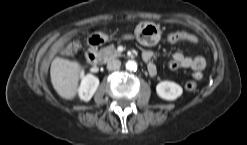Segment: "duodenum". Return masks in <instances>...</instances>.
Segmentation results:
<instances>
[{
	"instance_id": "duodenum-1",
	"label": "duodenum",
	"mask_w": 247,
	"mask_h": 145,
	"mask_svg": "<svg viewBox=\"0 0 247 145\" xmlns=\"http://www.w3.org/2000/svg\"><path fill=\"white\" fill-rule=\"evenodd\" d=\"M103 43H104V38L99 34L92 35L89 38V46L85 51V56L90 65H96L98 61L97 48L101 46ZM148 71L155 73L156 72L155 66L153 64H148Z\"/></svg>"
}]
</instances>
